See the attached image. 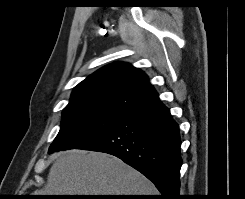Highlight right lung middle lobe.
Instances as JSON below:
<instances>
[{"instance_id": "obj_1", "label": "right lung middle lobe", "mask_w": 245, "mask_h": 199, "mask_svg": "<svg viewBox=\"0 0 245 199\" xmlns=\"http://www.w3.org/2000/svg\"><path fill=\"white\" fill-rule=\"evenodd\" d=\"M128 115L95 106L65 108L49 153L78 148L106 133Z\"/></svg>"}]
</instances>
